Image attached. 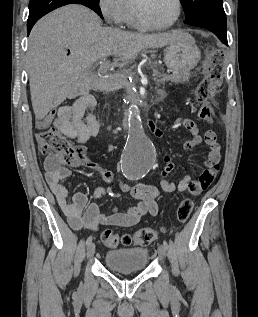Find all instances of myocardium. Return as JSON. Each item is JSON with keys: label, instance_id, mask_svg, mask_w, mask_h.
<instances>
[{"label": "myocardium", "instance_id": "1", "mask_svg": "<svg viewBox=\"0 0 258 317\" xmlns=\"http://www.w3.org/2000/svg\"><path fill=\"white\" fill-rule=\"evenodd\" d=\"M154 0H139L136 4L135 7V21H136V25L138 26L139 29L143 30V31H147V32H156V31H163L166 29L171 28L172 26H174L176 24V22L179 20L180 15H181V2L180 0H172L175 4H176V16L175 18L168 24L166 25H162V26H157V27H148L144 24L143 18H142V11L144 9V7L152 2Z\"/></svg>", "mask_w": 258, "mask_h": 317}]
</instances>
